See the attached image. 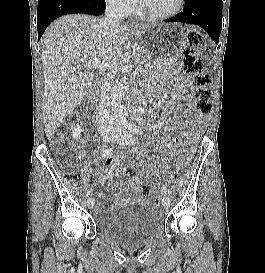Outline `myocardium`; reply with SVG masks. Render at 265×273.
<instances>
[{
	"label": "myocardium",
	"mask_w": 265,
	"mask_h": 273,
	"mask_svg": "<svg viewBox=\"0 0 265 273\" xmlns=\"http://www.w3.org/2000/svg\"><path fill=\"white\" fill-rule=\"evenodd\" d=\"M184 5H185V0H179L177 7L174 10H172L171 12L164 13V14H157V13H152V12L148 11L144 6V1L139 0V11H140V15L146 19L167 20V19H171V18L175 17L176 15H178L182 11V9L184 8Z\"/></svg>",
	"instance_id": "f54148a6"
}]
</instances>
